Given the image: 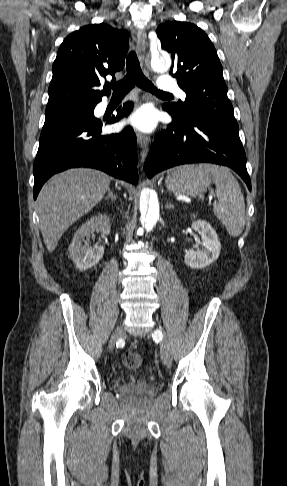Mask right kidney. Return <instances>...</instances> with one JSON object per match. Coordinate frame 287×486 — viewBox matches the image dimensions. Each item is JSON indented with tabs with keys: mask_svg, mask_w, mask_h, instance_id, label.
Instances as JSON below:
<instances>
[{
	"mask_svg": "<svg viewBox=\"0 0 287 486\" xmlns=\"http://www.w3.org/2000/svg\"><path fill=\"white\" fill-rule=\"evenodd\" d=\"M94 231H100L103 235L110 233V220L105 214L99 213L91 217L75 232L71 244L69 245L70 257L77 269L84 271L95 266L104 255V246L89 248L84 238L87 239Z\"/></svg>",
	"mask_w": 287,
	"mask_h": 486,
	"instance_id": "ca27d5eb",
	"label": "right kidney"
}]
</instances>
